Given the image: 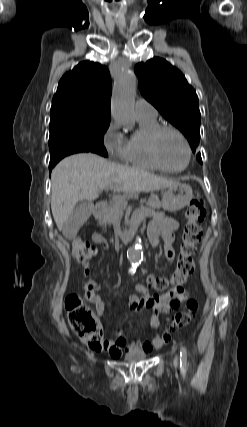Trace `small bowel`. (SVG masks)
Instances as JSON below:
<instances>
[{
  "label": "small bowel",
  "mask_w": 247,
  "mask_h": 427,
  "mask_svg": "<svg viewBox=\"0 0 247 427\" xmlns=\"http://www.w3.org/2000/svg\"><path fill=\"white\" fill-rule=\"evenodd\" d=\"M179 228V224L173 218L162 213L153 215L150 222L147 235L154 246H157L162 240L163 243V258L172 262L174 260L173 243L175 241V233ZM92 240L97 243H103L104 239L100 234H94ZM84 277H89L92 274V265L88 262L84 263ZM84 298L95 307L98 316H102L106 307L109 305L99 293V285L90 278L83 282ZM135 289L141 294L140 297L130 295L128 305L131 311L141 313L145 309L151 311V327L157 330L160 326V315L170 314L173 310L178 309L182 302L188 298V294L184 287H174L168 293L160 296H151L148 289L136 284ZM170 341V333H156L151 340L137 341L128 343L125 333L122 329H117L114 335L107 339L106 351L113 357H119L125 350H141L144 352H153L160 349Z\"/></svg>",
  "instance_id": "obj_1"
}]
</instances>
